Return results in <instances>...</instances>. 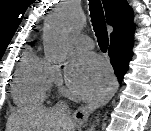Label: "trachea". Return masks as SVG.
Here are the masks:
<instances>
[{"label": "trachea", "mask_w": 151, "mask_h": 131, "mask_svg": "<svg viewBox=\"0 0 151 131\" xmlns=\"http://www.w3.org/2000/svg\"><path fill=\"white\" fill-rule=\"evenodd\" d=\"M90 17L97 42L102 52H106L109 45L108 32L104 11L100 0H89Z\"/></svg>", "instance_id": "1"}]
</instances>
